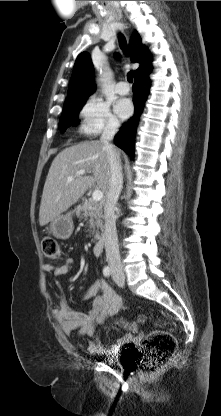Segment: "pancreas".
Here are the masks:
<instances>
[{
    "label": "pancreas",
    "instance_id": "cf45deb5",
    "mask_svg": "<svg viewBox=\"0 0 221 416\" xmlns=\"http://www.w3.org/2000/svg\"><path fill=\"white\" fill-rule=\"evenodd\" d=\"M76 215L85 219L90 229L95 233V239H100L99 229L103 228L102 204L93 200H86L82 206L77 207Z\"/></svg>",
    "mask_w": 221,
    "mask_h": 416
}]
</instances>
